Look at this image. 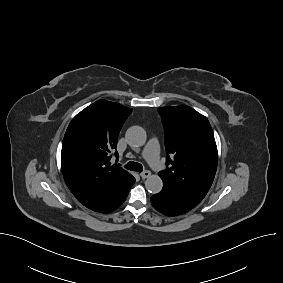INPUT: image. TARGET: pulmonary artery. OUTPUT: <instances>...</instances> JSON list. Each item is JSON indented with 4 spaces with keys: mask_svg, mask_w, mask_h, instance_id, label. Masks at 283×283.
<instances>
[{
    "mask_svg": "<svg viewBox=\"0 0 283 283\" xmlns=\"http://www.w3.org/2000/svg\"><path fill=\"white\" fill-rule=\"evenodd\" d=\"M142 156L156 170L162 168V162L159 157V142L157 138H151L146 144Z\"/></svg>",
    "mask_w": 283,
    "mask_h": 283,
    "instance_id": "e3ab8cb5",
    "label": "pulmonary artery"
}]
</instances>
